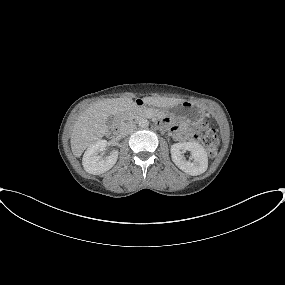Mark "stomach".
Returning a JSON list of instances; mask_svg holds the SVG:
<instances>
[{"label": "stomach", "mask_w": 285, "mask_h": 285, "mask_svg": "<svg viewBox=\"0 0 285 285\" xmlns=\"http://www.w3.org/2000/svg\"><path fill=\"white\" fill-rule=\"evenodd\" d=\"M167 112L171 117L184 120L189 123H196L202 120L205 116V111L201 105L187 100L168 108Z\"/></svg>", "instance_id": "obj_1"}]
</instances>
